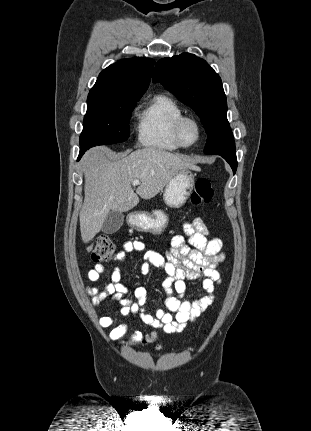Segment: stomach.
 <instances>
[{
	"label": "stomach",
	"instance_id": "stomach-1",
	"mask_svg": "<svg viewBox=\"0 0 311 431\" xmlns=\"http://www.w3.org/2000/svg\"><path fill=\"white\" fill-rule=\"evenodd\" d=\"M195 186V176L191 170H179L173 180L165 186L163 202L168 208H181L189 200ZM127 225L137 231H150L159 235L169 223V217L163 210L153 212H130L126 217Z\"/></svg>",
	"mask_w": 311,
	"mask_h": 431
}]
</instances>
